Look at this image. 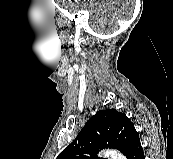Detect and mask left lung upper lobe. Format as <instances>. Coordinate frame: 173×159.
Masks as SVG:
<instances>
[{
    "mask_svg": "<svg viewBox=\"0 0 173 159\" xmlns=\"http://www.w3.org/2000/svg\"><path fill=\"white\" fill-rule=\"evenodd\" d=\"M139 143V134L125 114L115 109L100 110L56 159H100L97 153L104 148L118 149L127 157Z\"/></svg>",
    "mask_w": 173,
    "mask_h": 159,
    "instance_id": "1",
    "label": "left lung upper lobe"
}]
</instances>
